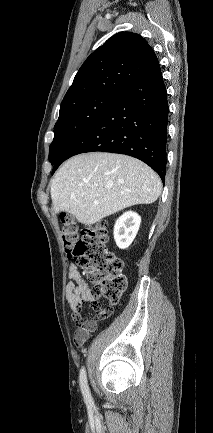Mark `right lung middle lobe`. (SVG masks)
<instances>
[{
  "mask_svg": "<svg viewBox=\"0 0 213 433\" xmlns=\"http://www.w3.org/2000/svg\"><path fill=\"white\" fill-rule=\"evenodd\" d=\"M121 94L102 92L61 105L49 148L51 164L82 131L115 103Z\"/></svg>",
  "mask_w": 213,
  "mask_h": 433,
  "instance_id": "1",
  "label": "right lung middle lobe"
}]
</instances>
